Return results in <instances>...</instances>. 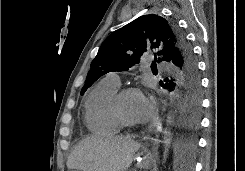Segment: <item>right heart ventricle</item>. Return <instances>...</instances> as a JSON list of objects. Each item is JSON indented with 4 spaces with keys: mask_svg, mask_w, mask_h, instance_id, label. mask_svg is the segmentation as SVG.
<instances>
[{
    "mask_svg": "<svg viewBox=\"0 0 245 171\" xmlns=\"http://www.w3.org/2000/svg\"><path fill=\"white\" fill-rule=\"evenodd\" d=\"M119 87L106 78L90 91L84 105V120L88 130L98 135H112L120 130L113 116L111 102Z\"/></svg>",
    "mask_w": 245,
    "mask_h": 171,
    "instance_id": "e07e8e85",
    "label": "right heart ventricle"
}]
</instances>
